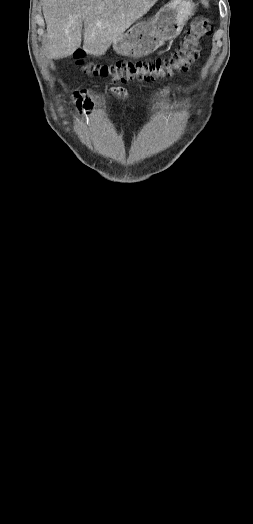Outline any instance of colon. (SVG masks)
<instances>
[{
  "instance_id": "5ec220e1",
  "label": "colon",
  "mask_w": 253,
  "mask_h": 524,
  "mask_svg": "<svg viewBox=\"0 0 253 524\" xmlns=\"http://www.w3.org/2000/svg\"><path fill=\"white\" fill-rule=\"evenodd\" d=\"M212 33V22L200 17L192 22L178 49L168 58L142 62H117L111 65L84 63L83 53H78L76 59L87 73L102 78L121 82L154 81L172 76L175 71L185 70L198 56L201 41ZM84 106L90 112L89 104Z\"/></svg>"
}]
</instances>
